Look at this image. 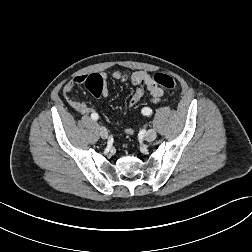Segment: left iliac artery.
<instances>
[{
  "label": "left iliac artery",
  "instance_id": "obj_1",
  "mask_svg": "<svg viewBox=\"0 0 252 252\" xmlns=\"http://www.w3.org/2000/svg\"><path fill=\"white\" fill-rule=\"evenodd\" d=\"M151 112H152V110H150L149 107L144 106V107H142V109H141V111H140V114H141L142 116H146V115L148 116V115L151 114Z\"/></svg>",
  "mask_w": 252,
  "mask_h": 252
}]
</instances>
